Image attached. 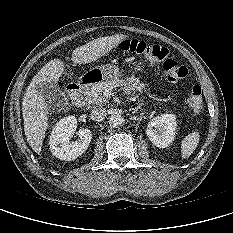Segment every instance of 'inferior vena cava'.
<instances>
[{"label": "inferior vena cava", "mask_w": 233, "mask_h": 233, "mask_svg": "<svg viewBox=\"0 0 233 233\" xmlns=\"http://www.w3.org/2000/svg\"><path fill=\"white\" fill-rule=\"evenodd\" d=\"M91 118L95 121H103L107 115L106 110L103 108H95L91 111Z\"/></svg>", "instance_id": "inferior-vena-cava-1"}]
</instances>
